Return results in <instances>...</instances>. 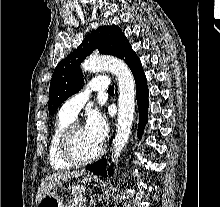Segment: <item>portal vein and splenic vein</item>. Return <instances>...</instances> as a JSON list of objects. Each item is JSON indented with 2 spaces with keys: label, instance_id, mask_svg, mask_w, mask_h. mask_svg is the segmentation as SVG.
Returning <instances> with one entry per match:
<instances>
[{
  "label": "portal vein and splenic vein",
  "instance_id": "obj_1",
  "mask_svg": "<svg viewBox=\"0 0 220 207\" xmlns=\"http://www.w3.org/2000/svg\"><path fill=\"white\" fill-rule=\"evenodd\" d=\"M80 201H84V198L82 196L79 197Z\"/></svg>",
  "mask_w": 220,
  "mask_h": 207
}]
</instances>
